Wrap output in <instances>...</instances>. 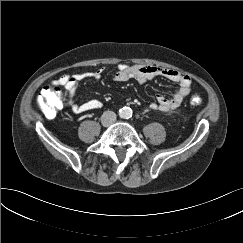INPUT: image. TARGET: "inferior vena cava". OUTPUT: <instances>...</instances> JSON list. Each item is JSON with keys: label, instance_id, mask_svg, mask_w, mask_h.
Segmentation results:
<instances>
[{"label": "inferior vena cava", "instance_id": "obj_1", "mask_svg": "<svg viewBox=\"0 0 243 243\" xmlns=\"http://www.w3.org/2000/svg\"><path fill=\"white\" fill-rule=\"evenodd\" d=\"M116 114L113 111H105L101 116L103 126H110L116 121Z\"/></svg>", "mask_w": 243, "mask_h": 243}]
</instances>
